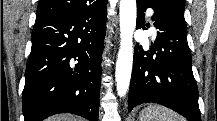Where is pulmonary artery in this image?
<instances>
[{
    "label": "pulmonary artery",
    "instance_id": "pulmonary-artery-1",
    "mask_svg": "<svg viewBox=\"0 0 217 121\" xmlns=\"http://www.w3.org/2000/svg\"><path fill=\"white\" fill-rule=\"evenodd\" d=\"M154 31H156V27H154Z\"/></svg>",
    "mask_w": 217,
    "mask_h": 121
}]
</instances>
